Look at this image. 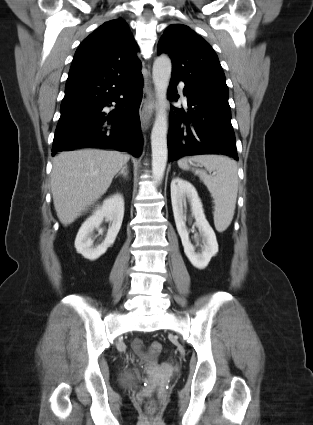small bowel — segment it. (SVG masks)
<instances>
[{
	"instance_id": "obj_1",
	"label": "small bowel",
	"mask_w": 313,
	"mask_h": 425,
	"mask_svg": "<svg viewBox=\"0 0 313 425\" xmlns=\"http://www.w3.org/2000/svg\"><path fill=\"white\" fill-rule=\"evenodd\" d=\"M134 347H135L136 349H139V348L141 347V342H140V341H135V342H134Z\"/></svg>"
}]
</instances>
